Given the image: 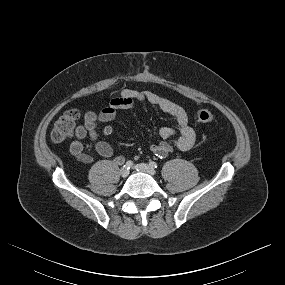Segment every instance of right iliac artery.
<instances>
[{
  "label": "right iliac artery",
  "instance_id": "right-iliac-artery-1",
  "mask_svg": "<svg viewBox=\"0 0 285 285\" xmlns=\"http://www.w3.org/2000/svg\"><path fill=\"white\" fill-rule=\"evenodd\" d=\"M133 166V162L131 160L127 161L125 165L123 166L124 168L130 169Z\"/></svg>",
  "mask_w": 285,
  "mask_h": 285
}]
</instances>
